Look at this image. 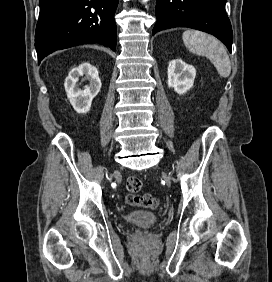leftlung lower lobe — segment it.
<instances>
[{
    "mask_svg": "<svg viewBox=\"0 0 272 282\" xmlns=\"http://www.w3.org/2000/svg\"><path fill=\"white\" fill-rule=\"evenodd\" d=\"M225 4L226 0H157V22L152 34L173 27H189L214 35L231 52L233 33Z\"/></svg>",
    "mask_w": 272,
    "mask_h": 282,
    "instance_id": "0a47b994",
    "label": "left lung lower lobe"
}]
</instances>
